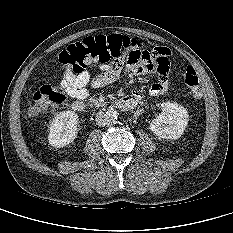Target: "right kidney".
Here are the masks:
<instances>
[{
	"mask_svg": "<svg viewBox=\"0 0 233 233\" xmlns=\"http://www.w3.org/2000/svg\"><path fill=\"white\" fill-rule=\"evenodd\" d=\"M78 115L74 111L60 112L50 125L49 144L62 148L72 143L77 137Z\"/></svg>",
	"mask_w": 233,
	"mask_h": 233,
	"instance_id": "ca27d5eb",
	"label": "right kidney"
}]
</instances>
